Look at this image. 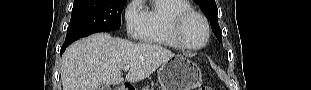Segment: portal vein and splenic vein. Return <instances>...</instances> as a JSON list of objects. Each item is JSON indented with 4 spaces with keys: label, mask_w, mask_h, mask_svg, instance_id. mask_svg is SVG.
Segmentation results:
<instances>
[{
    "label": "portal vein and splenic vein",
    "mask_w": 311,
    "mask_h": 90,
    "mask_svg": "<svg viewBox=\"0 0 311 90\" xmlns=\"http://www.w3.org/2000/svg\"><path fill=\"white\" fill-rule=\"evenodd\" d=\"M129 68H130L129 66H124V67H123V70H124V71H128Z\"/></svg>",
    "instance_id": "obj_1"
}]
</instances>
